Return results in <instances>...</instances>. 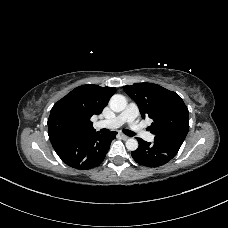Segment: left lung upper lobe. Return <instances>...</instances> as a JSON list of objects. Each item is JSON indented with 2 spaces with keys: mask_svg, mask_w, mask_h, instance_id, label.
<instances>
[{
  "mask_svg": "<svg viewBox=\"0 0 228 228\" xmlns=\"http://www.w3.org/2000/svg\"><path fill=\"white\" fill-rule=\"evenodd\" d=\"M137 103L142 118L153 120L151 133L155 138L184 141L189 130L188 109L181 97L153 83H135L123 87Z\"/></svg>",
  "mask_w": 228,
  "mask_h": 228,
  "instance_id": "obj_1",
  "label": "left lung upper lobe"
}]
</instances>
